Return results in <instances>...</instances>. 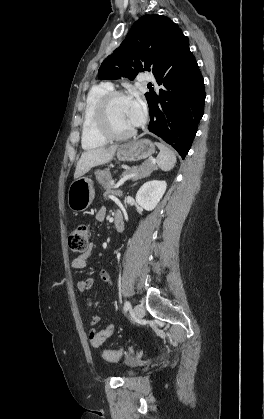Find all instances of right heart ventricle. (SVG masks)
Returning <instances> with one entry per match:
<instances>
[{"instance_id":"e07e8e85","label":"right heart ventricle","mask_w":264,"mask_h":419,"mask_svg":"<svg viewBox=\"0 0 264 419\" xmlns=\"http://www.w3.org/2000/svg\"><path fill=\"white\" fill-rule=\"evenodd\" d=\"M111 89L107 84H100L92 87L87 94L81 134V144L85 150L99 148L107 142L97 129L95 114L98 102Z\"/></svg>"}]
</instances>
